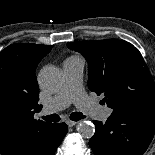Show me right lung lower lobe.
Returning a JSON list of instances; mask_svg holds the SVG:
<instances>
[{"label": "right lung lower lobe", "mask_w": 155, "mask_h": 155, "mask_svg": "<svg viewBox=\"0 0 155 155\" xmlns=\"http://www.w3.org/2000/svg\"><path fill=\"white\" fill-rule=\"evenodd\" d=\"M67 132L68 128L65 123L54 124L41 155H54Z\"/></svg>", "instance_id": "obj_1"}]
</instances>
